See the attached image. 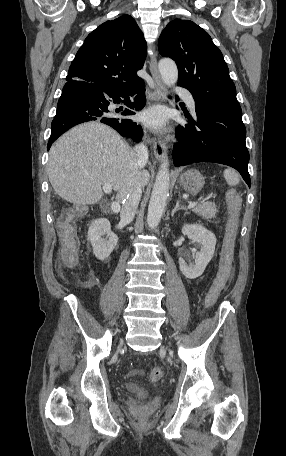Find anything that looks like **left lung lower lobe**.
<instances>
[{"mask_svg": "<svg viewBox=\"0 0 286 456\" xmlns=\"http://www.w3.org/2000/svg\"><path fill=\"white\" fill-rule=\"evenodd\" d=\"M196 120L176 130L179 142L173 148L175 166L194 162H215L239 171L250 187L249 152L245 145L246 128L242 113L195 101Z\"/></svg>", "mask_w": 286, "mask_h": 456, "instance_id": "obj_1", "label": "left lung lower lobe"}]
</instances>
